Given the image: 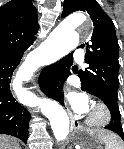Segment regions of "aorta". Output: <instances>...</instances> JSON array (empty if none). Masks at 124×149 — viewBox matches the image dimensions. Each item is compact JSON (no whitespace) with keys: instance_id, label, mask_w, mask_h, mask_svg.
I'll use <instances>...</instances> for the list:
<instances>
[{"instance_id":"obj_1","label":"aorta","mask_w":124,"mask_h":149,"mask_svg":"<svg viewBox=\"0 0 124 149\" xmlns=\"http://www.w3.org/2000/svg\"><path fill=\"white\" fill-rule=\"evenodd\" d=\"M87 22L83 13H75L64 19L48 36L40 50L34 51L21 70V76L30 74L45 53L65 55L72 51L79 42L77 29ZM43 113L49 119L51 129L58 141L65 139L69 133V117L64 108L52 100H45Z\"/></svg>"}]
</instances>
